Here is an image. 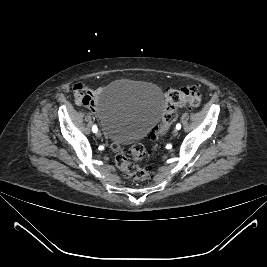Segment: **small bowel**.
<instances>
[{"mask_svg":"<svg viewBox=\"0 0 267 267\" xmlns=\"http://www.w3.org/2000/svg\"><path fill=\"white\" fill-rule=\"evenodd\" d=\"M99 92V88H90L81 83L74 86V96L76 102L91 109L95 108V99Z\"/></svg>","mask_w":267,"mask_h":267,"instance_id":"1","label":"small bowel"}]
</instances>
